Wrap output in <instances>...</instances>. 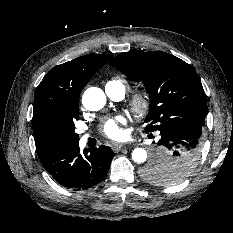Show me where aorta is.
<instances>
[{
    "label": "aorta",
    "instance_id": "1",
    "mask_svg": "<svg viewBox=\"0 0 233 233\" xmlns=\"http://www.w3.org/2000/svg\"><path fill=\"white\" fill-rule=\"evenodd\" d=\"M83 106L89 111H98L106 104L104 92L97 87L88 88L82 97ZM132 159L136 163H143L147 159V152L143 148H136L132 152Z\"/></svg>",
    "mask_w": 233,
    "mask_h": 233
}]
</instances>
